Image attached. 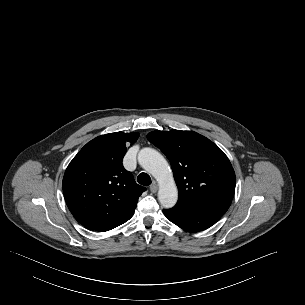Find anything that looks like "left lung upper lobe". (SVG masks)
<instances>
[{"mask_svg":"<svg viewBox=\"0 0 305 305\" xmlns=\"http://www.w3.org/2000/svg\"><path fill=\"white\" fill-rule=\"evenodd\" d=\"M147 138L171 163L179 192L173 210L188 213L228 210L235 192V173L216 144L193 131H153Z\"/></svg>","mask_w":305,"mask_h":305,"instance_id":"5c2ea615","label":"left lung upper lobe"}]
</instances>
